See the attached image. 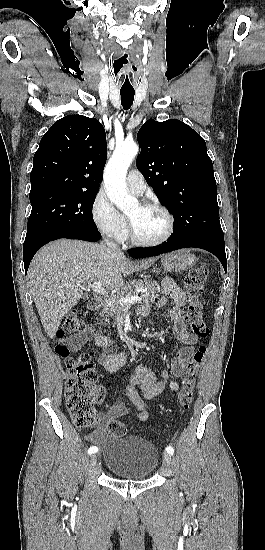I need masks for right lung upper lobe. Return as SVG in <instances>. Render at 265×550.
I'll return each instance as SVG.
<instances>
[{
  "instance_id": "right-lung-upper-lobe-1",
  "label": "right lung upper lobe",
  "mask_w": 265,
  "mask_h": 550,
  "mask_svg": "<svg viewBox=\"0 0 265 550\" xmlns=\"http://www.w3.org/2000/svg\"><path fill=\"white\" fill-rule=\"evenodd\" d=\"M106 135L95 118L69 115L42 137L34 154L31 191L97 193L106 163Z\"/></svg>"
}]
</instances>
